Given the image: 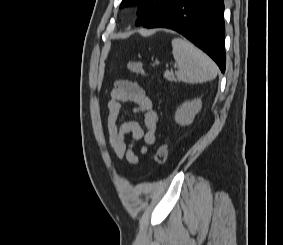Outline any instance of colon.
<instances>
[{
  "mask_svg": "<svg viewBox=\"0 0 283 245\" xmlns=\"http://www.w3.org/2000/svg\"><path fill=\"white\" fill-rule=\"evenodd\" d=\"M127 66L132 73L140 76H147V73L145 72L141 62L130 60L127 62ZM168 153V144L166 141H164L158 146L154 157L158 166L165 164L168 159Z\"/></svg>",
  "mask_w": 283,
  "mask_h": 245,
  "instance_id": "5ec220e1",
  "label": "colon"
}]
</instances>
